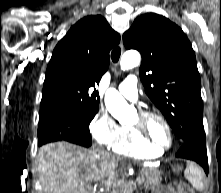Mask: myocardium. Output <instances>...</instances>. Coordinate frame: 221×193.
I'll return each mask as SVG.
<instances>
[{"mask_svg": "<svg viewBox=\"0 0 221 193\" xmlns=\"http://www.w3.org/2000/svg\"><path fill=\"white\" fill-rule=\"evenodd\" d=\"M150 118H156L164 125L169 136V145L167 147H162L157 144L149 135L146 127L147 120ZM131 129L137 135V137L145 144L151 148L156 149L160 153L166 152L173 147L174 144V134L172 127L166 117L156 110L144 109L138 113V118L135 123L131 125Z\"/></svg>", "mask_w": 221, "mask_h": 193, "instance_id": "myocardium-1", "label": "myocardium"}]
</instances>
